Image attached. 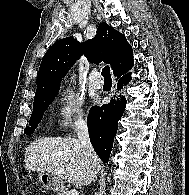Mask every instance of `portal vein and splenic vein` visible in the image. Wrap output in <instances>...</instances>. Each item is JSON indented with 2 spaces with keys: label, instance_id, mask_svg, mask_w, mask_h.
<instances>
[{
  "label": "portal vein and splenic vein",
  "instance_id": "1",
  "mask_svg": "<svg viewBox=\"0 0 189 195\" xmlns=\"http://www.w3.org/2000/svg\"><path fill=\"white\" fill-rule=\"evenodd\" d=\"M68 195H79V192L75 189L69 191Z\"/></svg>",
  "mask_w": 189,
  "mask_h": 195
}]
</instances>
